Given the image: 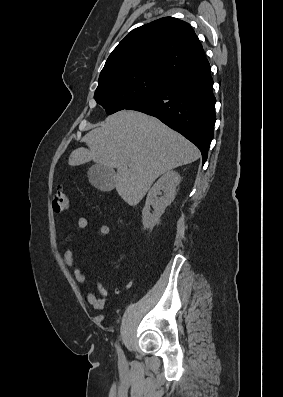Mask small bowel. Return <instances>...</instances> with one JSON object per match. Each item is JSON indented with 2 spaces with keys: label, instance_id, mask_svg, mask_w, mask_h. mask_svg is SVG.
Returning <instances> with one entry per match:
<instances>
[{
  "label": "small bowel",
  "instance_id": "obj_1",
  "mask_svg": "<svg viewBox=\"0 0 283 397\" xmlns=\"http://www.w3.org/2000/svg\"><path fill=\"white\" fill-rule=\"evenodd\" d=\"M87 226H88L87 218L84 216H79L77 219V228L82 231L85 230ZM97 229L102 237H106L110 233L109 226L104 223H98ZM71 242H72L71 237H68L65 241V243L69 245L63 256L64 263L67 267H72L74 264V251L70 246ZM73 276L76 282L82 285L86 289V298L88 303L96 310H103L105 306L107 291L103 287L101 281L100 280L97 281L96 289L95 291H92L91 289L88 288L86 277L80 268L78 267L73 268Z\"/></svg>",
  "mask_w": 283,
  "mask_h": 397
}]
</instances>
